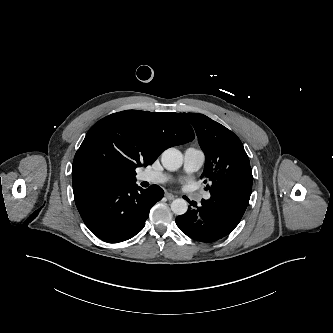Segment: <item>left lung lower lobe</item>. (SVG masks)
Returning <instances> with one entry per match:
<instances>
[{"mask_svg":"<svg viewBox=\"0 0 333 333\" xmlns=\"http://www.w3.org/2000/svg\"><path fill=\"white\" fill-rule=\"evenodd\" d=\"M252 170L244 167L228 173L218 181V187L210 192L209 200L202 206L185 198L191 205L187 212L176 218V224L187 236L201 242L217 241L240 222L252 192Z\"/></svg>","mask_w":333,"mask_h":333,"instance_id":"left-lung-lower-lobe-1","label":"left lung lower lobe"}]
</instances>
